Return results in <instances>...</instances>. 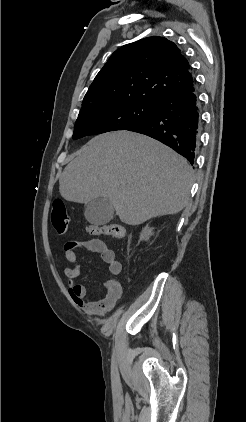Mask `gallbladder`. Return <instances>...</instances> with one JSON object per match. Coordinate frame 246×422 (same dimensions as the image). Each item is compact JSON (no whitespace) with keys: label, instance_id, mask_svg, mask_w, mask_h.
Returning <instances> with one entry per match:
<instances>
[{"label":"gallbladder","instance_id":"gallbladder-1","mask_svg":"<svg viewBox=\"0 0 246 422\" xmlns=\"http://www.w3.org/2000/svg\"><path fill=\"white\" fill-rule=\"evenodd\" d=\"M86 220L94 225H104L114 217V207L109 199L98 197L86 204Z\"/></svg>","mask_w":246,"mask_h":422}]
</instances>
